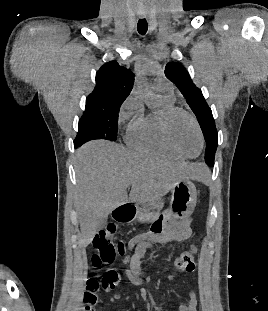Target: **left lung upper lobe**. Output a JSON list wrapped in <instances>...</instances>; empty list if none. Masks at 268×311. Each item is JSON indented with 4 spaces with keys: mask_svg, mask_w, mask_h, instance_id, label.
<instances>
[{
    "mask_svg": "<svg viewBox=\"0 0 268 311\" xmlns=\"http://www.w3.org/2000/svg\"><path fill=\"white\" fill-rule=\"evenodd\" d=\"M165 75L178 87L196 115L206 141L205 162L207 165L213 166L218 145V133L212 111L201 90L195 86L186 69L179 63H168L165 67Z\"/></svg>",
    "mask_w": 268,
    "mask_h": 311,
    "instance_id": "left-lung-upper-lobe-1",
    "label": "left lung upper lobe"
}]
</instances>
